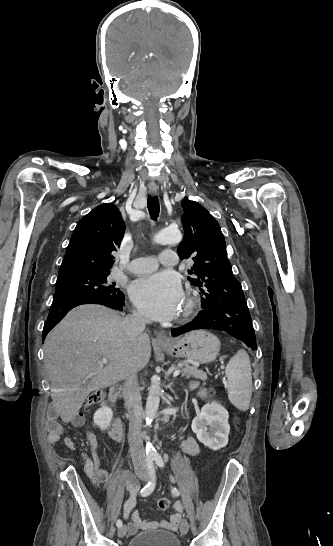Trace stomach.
<instances>
[{"label":"stomach","instance_id":"1","mask_svg":"<svg viewBox=\"0 0 333 546\" xmlns=\"http://www.w3.org/2000/svg\"><path fill=\"white\" fill-rule=\"evenodd\" d=\"M173 357L188 358L199 363L213 362L220 350V341L214 334L197 330L174 339L169 345L161 347Z\"/></svg>","mask_w":333,"mask_h":546}]
</instances>
